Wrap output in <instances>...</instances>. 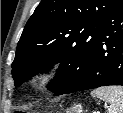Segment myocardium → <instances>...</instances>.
Here are the masks:
<instances>
[{
    "label": "myocardium",
    "mask_w": 123,
    "mask_h": 113,
    "mask_svg": "<svg viewBox=\"0 0 123 113\" xmlns=\"http://www.w3.org/2000/svg\"><path fill=\"white\" fill-rule=\"evenodd\" d=\"M60 63L52 62L42 66L34 77V82L39 89H43L59 73Z\"/></svg>",
    "instance_id": "obj_1"
}]
</instances>
